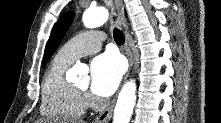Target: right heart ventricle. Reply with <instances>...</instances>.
I'll list each match as a JSON object with an SVG mask.
<instances>
[{
    "label": "right heart ventricle",
    "mask_w": 221,
    "mask_h": 123,
    "mask_svg": "<svg viewBox=\"0 0 221 123\" xmlns=\"http://www.w3.org/2000/svg\"><path fill=\"white\" fill-rule=\"evenodd\" d=\"M71 62L56 56L48 66L42 81L40 112L53 119H72L82 116L87 102L65 79Z\"/></svg>",
    "instance_id": "1"
}]
</instances>
